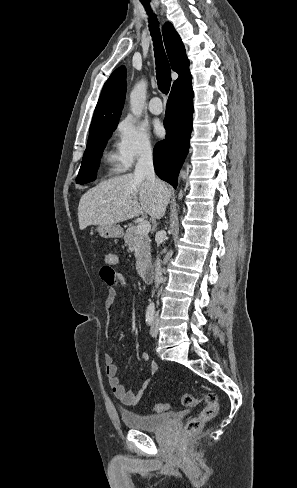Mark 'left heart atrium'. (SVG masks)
I'll list each match as a JSON object with an SVG mask.
<instances>
[{"label": "left heart atrium", "instance_id": "left-heart-atrium-1", "mask_svg": "<svg viewBox=\"0 0 297 488\" xmlns=\"http://www.w3.org/2000/svg\"><path fill=\"white\" fill-rule=\"evenodd\" d=\"M154 132L158 137H162L165 134V128L160 122L154 123Z\"/></svg>", "mask_w": 297, "mask_h": 488}]
</instances>
